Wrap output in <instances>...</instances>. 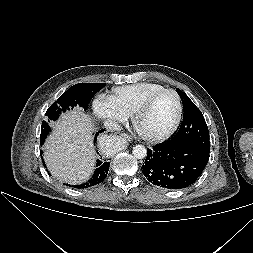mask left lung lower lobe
Wrapping results in <instances>:
<instances>
[{
  "label": "left lung lower lobe",
  "mask_w": 253,
  "mask_h": 253,
  "mask_svg": "<svg viewBox=\"0 0 253 253\" xmlns=\"http://www.w3.org/2000/svg\"><path fill=\"white\" fill-rule=\"evenodd\" d=\"M209 152L193 144L168 141L147 149L141 170L154 185L166 189L186 188L201 175Z\"/></svg>",
  "instance_id": "obj_1"
}]
</instances>
